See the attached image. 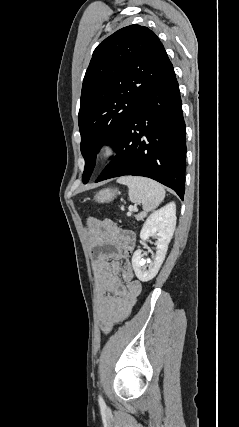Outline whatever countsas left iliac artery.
<instances>
[{
    "instance_id": "left-iliac-artery-1",
    "label": "left iliac artery",
    "mask_w": 239,
    "mask_h": 427,
    "mask_svg": "<svg viewBox=\"0 0 239 427\" xmlns=\"http://www.w3.org/2000/svg\"><path fill=\"white\" fill-rule=\"evenodd\" d=\"M99 401H100V403H103V400L100 396H99Z\"/></svg>"
}]
</instances>
